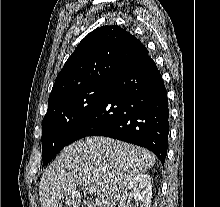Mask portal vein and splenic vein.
<instances>
[{"mask_svg":"<svg viewBox=\"0 0 220 207\" xmlns=\"http://www.w3.org/2000/svg\"><path fill=\"white\" fill-rule=\"evenodd\" d=\"M97 190H96V188H94V187H88V193L89 194H93V193H95Z\"/></svg>","mask_w":220,"mask_h":207,"instance_id":"18ae733b","label":"portal vein and splenic vein"}]
</instances>
